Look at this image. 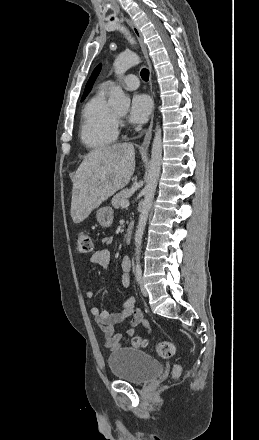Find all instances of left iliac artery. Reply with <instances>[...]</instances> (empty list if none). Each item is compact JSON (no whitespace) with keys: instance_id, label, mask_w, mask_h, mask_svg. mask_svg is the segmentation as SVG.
I'll return each mask as SVG.
<instances>
[{"instance_id":"left-iliac-artery-1","label":"left iliac artery","mask_w":259,"mask_h":440,"mask_svg":"<svg viewBox=\"0 0 259 440\" xmlns=\"http://www.w3.org/2000/svg\"><path fill=\"white\" fill-rule=\"evenodd\" d=\"M135 275H136V280L140 283L141 282V278H142V269L141 266L139 264L136 265V269H135Z\"/></svg>"}]
</instances>
